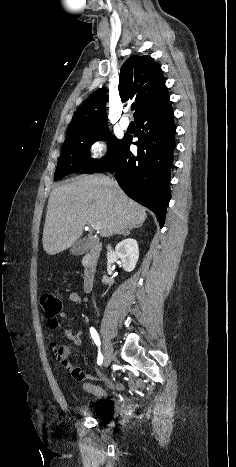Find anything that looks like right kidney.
<instances>
[{"label":"right kidney","mask_w":236,"mask_h":467,"mask_svg":"<svg viewBox=\"0 0 236 467\" xmlns=\"http://www.w3.org/2000/svg\"><path fill=\"white\" fill-rule=\"evenodd\" d=\"M117 256L122 261V267L125 271L131 272L134 270L139 259L138 243L135 239L127 238L119 242L115 247ZM104 283H113V278L103 277Z\"/></svg>","instance_id":"1"}]
</instances>
